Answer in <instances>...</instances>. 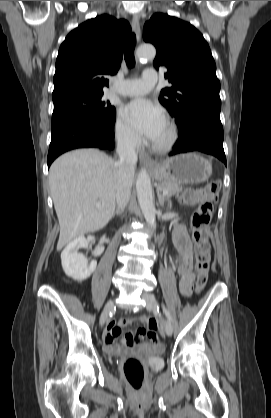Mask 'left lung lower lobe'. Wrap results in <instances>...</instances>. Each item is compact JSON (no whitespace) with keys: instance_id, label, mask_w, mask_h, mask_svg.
Segmentation results:
<instances>
[{"instance_id":"1","label":"left lung lower lobe","mask_w":271,"mask_h":418,"mask_svg":"<svg viewBox=\"0 0 271 418\" xmlns=\"http://www.w3.org/2000/svg\"><path fill=\"white\" fill-rule=\"evenodd\" d=\"M176 123L180 137L170 155L200 151L211 154L226 164L220 113L198 112L181 118Z\"/></svg>"}]
</instances>
